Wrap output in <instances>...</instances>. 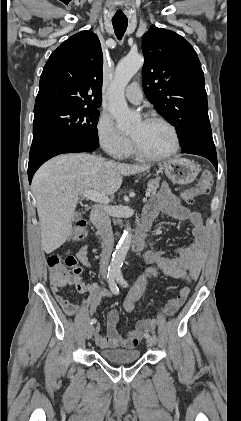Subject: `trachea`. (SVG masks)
Listing matches in <instances>:
<instances>
[{"mask_svg": "<svg viewBox=\"0 0 241 421\" xmlns=\"http://www.w3.org/2000/svg\"><path fill=\"white\" fill-rule=\"evenodd\" d=\"M112 24L115 30V34L117 38L120 40L127 29L128 20L127 19H112Z\"/></svg>", "mask_w": 241, "mask_h": 421, "instance_id": "obj_1", "label": "trachea"}]
</instances>
